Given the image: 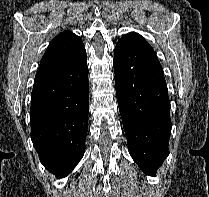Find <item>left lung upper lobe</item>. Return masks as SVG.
<instances>
[{
    "mask_svg": "<svg viewBox=\"0 0 209 197\" xmlns=\"http://www.w3.org/2000/svg\"><path fill=\"white\" fill-rule=\"evenodd\" d=\"M119 42H136L146 47L152 48L150 44L138 33L130 32L122 37Z\"/></svg>",
    "mask_w": 209,
    "mask_h": 197,
    "instance_id": "left-lung-upper-lobe-1",
    "label": "left lung upper lobe"
}]
</instances>
